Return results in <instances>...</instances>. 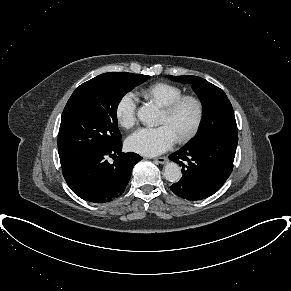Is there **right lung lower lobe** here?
Returning a JSON list of instances; mask_svg holds the SVG:
<instances>
[{
    "mask_svg": "<svg viewBox=\"0 0 291 291\" xmlns=\"http://www.w3.org/2000/svg\"><path fill=\"white\" fill-rule=\"evenodd\" d=\"M121 150L120 141L112 147L75 158L62 167L68 186L77 196L90 202L104 203L118 198L130 180L134 165L142 160L136 153H121ZM108 156H115L116 160L110 164Z\"/></svg>",
    "mask_w": 291,
    "mask_h": 291,
    "instance_id": "obj_1",
    "label": "right lung lower lobe"
}]
</instances>
